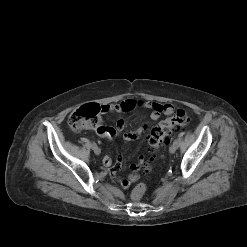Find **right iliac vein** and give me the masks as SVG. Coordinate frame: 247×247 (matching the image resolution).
Returning <instances> with one entry per match:
<instances>
[{
	"mask_svg": "<svg viewBox=\"0 0 247 247\" xmlns=\"http://www.w3.org/2000/svg\"><path fill=\"white\" fill-rule=\"evenodd\" d=\"M93 151H94V153H95L96 155H99V154L101 153V150H100V148H99L98 146H94V147H93Z\"/></svg>",
	"mask_w": 247,
	"mask_h": 247,
	"instance_id": "right-iliac-vein-1",
	"label": "right iliac vein"
}]
</instances>
